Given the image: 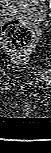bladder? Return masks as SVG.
I'll list each match as a JSON object with an SVG mask.
<instances>
[{
  "instance_id": "31cf9c89",
  "label": "bladder",
  "mask_w": 51,
  "mask_h": 153,
  "mask_svg": "<svg viewBox=\"0 0 51 153\" xmlns=\"http://www.w3.org/2000/svg\"><path fill=\"white\" fill-rule=\"evenodd\" d=\"M4 9L9 14L34 23H42L49 15V5L46 0H3Z\"/></svg>"
}]
</instances>
